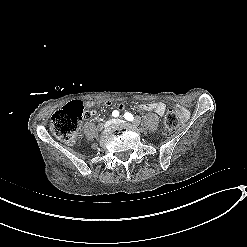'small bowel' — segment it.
Instances as JSON below:
<instances>
[{
    "label": "small bowel",
    "instance_id": "c3829d8e",
    "mask_svg": "<svg viewBox=\"0 0 247 247\" xmlns=\"http://www.w3.org/2000/svg\"><path fill=\"white\" fill-rule=\"evenodd\" d=\"M92 107H94V105H92L89 101H87L85 103V108L86 109H89V108H92ZM138 107L142 111L154 112L159 116H163L165 111H166V105L163 102L143 103V104H140ZM175 109H176V111H177V113L179 115V119L180 120L183 121L188 117V111L184 107H182L180 105H177ZM118 110H122V105L118 106Z\"/></svg>",
    "mask_w": 247,
    "mask_h": 247
}]
</instances>
